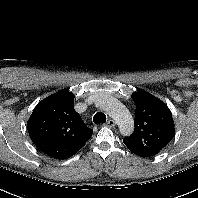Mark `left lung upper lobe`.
I'll return each mask as SVG.
<instances>
[{
	"instance_id": "1",
	"label": "left lung upper lobe",
	"mask_w": 198,
	"mask_h": 198,
	"mask_svg": "<svg viewBox=\"0 0 198 198\" xmlns=\"http://www.w3.org/2000/svg\"><path fill=\"white\" fill-rule=\"evenodd\" d=\"M131 98L136 104L135 129L123 143L140 157H151L163 150L175 135L171 112L158 98L138 90Z\"/></svg>"
}]
</instances>
